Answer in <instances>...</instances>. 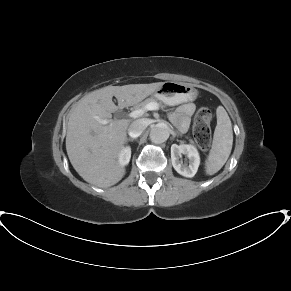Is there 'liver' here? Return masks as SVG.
<instances>
[{
	"label": "liver",
	"mask_w": 291,
	"mask_h": 291,
	"mask_svg": "<svg viewBox=\"0 0 291 291\" xmlns=\"http://www.w3.org/2000/svg\"><path fill=\"white\" fill-rule=\"evenodd\" d=\"M162 84L106 86L84 96L72 108L66 150L73 168L86 182L107 188L123 178L125 168L119 164L118 157L127 142L130 120H112L111 113L138 104ZM113 96L119 106L112 101ZM99 119L108 123L102 124Z\"/></svg>",
	"instance_id": "6515ba94"
}]
</instances>
